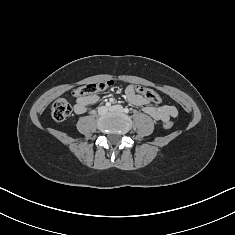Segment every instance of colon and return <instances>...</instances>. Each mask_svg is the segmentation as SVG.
I'll list each match as a JSON object with an SVG mask.
<instances>
[{
  "instance_id": "colon-1",
  "label": "colon",
  "mask_w": 235,
  "mask_h": 235,
  "mask_svg": "<svg viewBox=\"0 0 235 235\" xmlns=\"http://www.w3.org/2000/svg\"><path fill=\"white\" fill-rule=\"evenodd\" d=\"M112 81H101V82H93L81 86L74 90L73 95L76 97H83L88 94L97 93L108 89L112 86ZM136 93L143 96L147 101L153 103H159L161 101L160 95L154 90L142 86H134L133 87ZM71 113V106L69 102L64 98L57 99L52 105V117L56 121L65 120ZM173 126L171 121L166 122L165 127L170 129Z\"/></svg>"
}]
</instances>
